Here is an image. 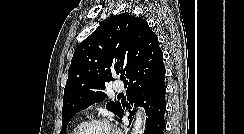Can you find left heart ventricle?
Returning a JSON list of instances; mask_svg holds the SVG:
<instances>
[{
	"instance_id": "1",
	"label": "left heart ventricle",
	"mask_w": 244,
	"mask_h": 134,
	"mask_svg": "<svg viewBox=\"0 0 244 134\" xmlns=\"http://www.w3.org/2000/svg\"><path fill=\"white\" fill-rule=\"evenodd\" d=\"M83 134H114L113 131L103 125H94L86 129Z\"/></svg>"
}]
</instances>
